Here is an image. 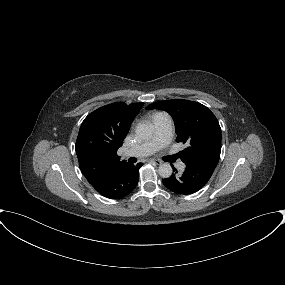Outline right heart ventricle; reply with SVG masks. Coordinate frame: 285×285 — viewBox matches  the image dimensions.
Wrapping results in <instances>:
<instances>
[{"label":"right heart ventricle","mask_w":285,"mask_h":285,"mask_svg":"<svg viewBox=\"0 0 285 285\" xmlns=\"http://www.w3.org/2000/svg\"><path fill=\"white\" fill-rule=\"evenodd\" d=\"M158 114H159V113L155 114L154 116H156V115H158ZM154 116H153V117H154Z\"/></svg>","instance_id":"obj_1"}]
</instances>
